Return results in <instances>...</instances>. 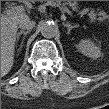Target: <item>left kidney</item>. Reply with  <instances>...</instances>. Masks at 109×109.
Listing matches in <instances>:
<instances>
[{
	"instance_id": "left-kidney-1",
	"label": "left kidney",
	"mask_w": 109,
	"mask_h": 109,
	"mask_svg": "<svg viewBox=\"0 0 109 109\" xmlns=\"http://www.w3.org/2000/svg\"><path fill=\"white\" fill-rule=\"evenodd\" d=\"M78 49L85 55L91 58H98L101 55L100 47L91 39H82L78 44Z\"/></svg>"
}]
</instances>
